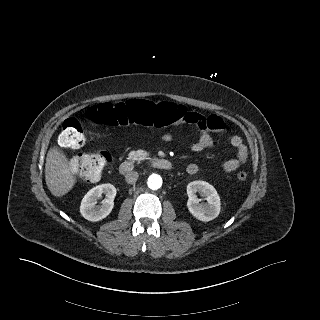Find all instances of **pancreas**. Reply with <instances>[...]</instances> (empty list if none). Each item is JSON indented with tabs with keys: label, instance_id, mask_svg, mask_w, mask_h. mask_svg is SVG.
Segmentation results:
<instances>
[{
	"label": "pancreas",
	"instance_id": "obj_1",
	"mask_svg": "<svg viewBox=\"0 0 320 320\" xmlns=\"http://www.w3.org/2000/svg\"><path fill=\"white\" fill-rule=\"evenodd\" d=\"M144 158L143 153L139 150L137 151H130L128 153V159L131 161H141Z\"/></svg>",
	"mask_w": 320,
	"mask_h": 320
}]
</instances>
